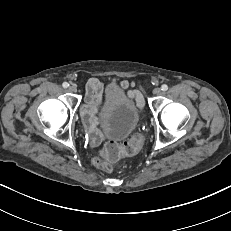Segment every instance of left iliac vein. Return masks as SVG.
<instances>
[{
    "instance_id": "obj_1",
    "label": "left iliac vein",
    "mask_w": 231,
    "mask_h": 231,
    "mask_svg": "<svg viewBox=\"0 0 231 231\" xmlns=\"http://www.w3.org/2000/svg\"><path fill=\"white\" fill-rule=\"evenodd\" d=\"M153 94L154 95H160L161 94V89L160 88H155L154 90H153Z\"/></svg>"
}]
</instances>
